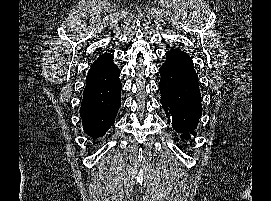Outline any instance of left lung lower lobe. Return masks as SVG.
<instances>
[{"label": "left lung lower lobe", "mask_w": 271, "mask_h": 201, "mask_svg": "<svg viewBox=\"0 0 271 201\" xmlns=\"http://www.w3.org/2000/svg\"><path fill=\"white\" fill-rule=\"evenodd\" d=\"M159 89L161 104L173 129L188 140L197 128L202 114L201 94L198 88V75L189 55L180 49L166 53V61L160 67Z\"/></svg>", "instance_id": "left-lung-lower-lobe-1"}]
</instances>
